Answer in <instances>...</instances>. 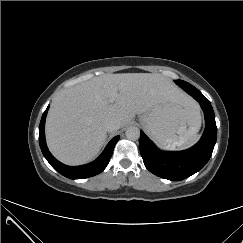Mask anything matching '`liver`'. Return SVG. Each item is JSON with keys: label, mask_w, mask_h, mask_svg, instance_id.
<instances>
[{"label": "liver", "mask_w": 243, "mask_h": 243, "mask_svg": "<svg viewBox=\"0 0 243 243\" xmlns=\"http://www.w3.org/2000/svg\"><path fill=\"white\" fill-rule=\"evenodd\" d=\"M114 92L116 98L110 103ZM190 100L158 73L104 74L56 95L46 119L47 144L61 162L83 164L97 156L103 146L106 121L116 119L121 128L159 102L183 104Z\"/></svg>", "instance_id": "obj_1"}]
</instances>
